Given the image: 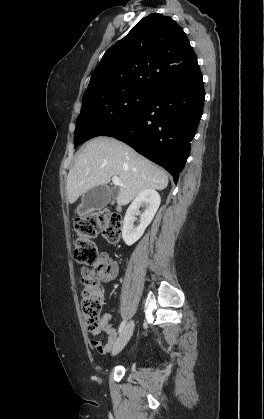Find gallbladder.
Instances as JSON below:
<instances>
[{
  "label": "gallbladder",
  "instance_id": "obj_1",
  "mask_svg": "<svg viewBox=\"0 0 264 419\" xmlns=\"http://www.w3.org/2000/svg\"><path fill=\"white\" fill-rule=\"evenodd\" d=\"M111 191L106 185L96 186L88 190L83 196L77 213L82 216L86 213L99 210L106 206L111 198ZM116 195V192H113Z\"/></svg>",
  "mask_w": 264,
  "mask_h": 419
}]
</instances>
